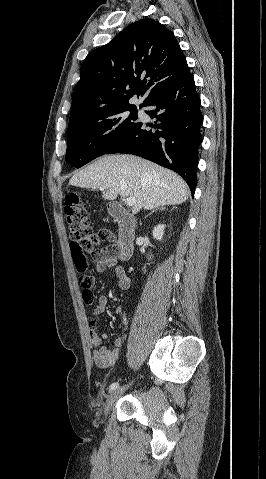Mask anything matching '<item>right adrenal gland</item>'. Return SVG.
Masks as SVG:
<instances>
[{
  "label": "right adrenal gland",
  "mask_w": 266,
  "mask_h": 479,
  "mask_svg": "<svg viewBox=\"0 0 266 479\" xmlns=\"http://www.w3.org/2000/svg\"><path fill=\"white\" fill-rule=\"evenodd\" d=\"M164 209H165L164 206H162V207H160V208H157V209H154V210H152V212H150L147 216L151 215L153 212H155V211H157V210L162 211V210H164ZM147 216H146V217H147ZM146 217H145V218H146Z\"/></svg>",
  "instance_id": "2a0ac1e0"
}]
</instances>
